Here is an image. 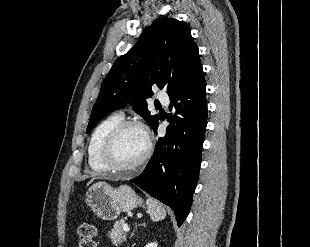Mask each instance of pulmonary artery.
<instances>
[{"mask_svg":"<svg viewBox=\"0 0 310 247\" xmlns=\"http://www.w3.org/2000/svg\"><path fill=\"white\" fill-rule=\"evenodd\" d=\"M157 98L165 106H168L170 103V99H169L168 95L165 93H159Z\"/></svg>","mask_w":310,"mask_h":247,"instance_id":"obj_1","label":"pulmonary artery"}]
</instances>
